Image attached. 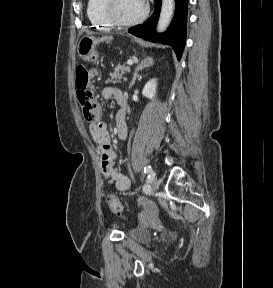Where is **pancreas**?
Segmentation results:
<instances>
[{
    "label": "pancreas",
    "mask_w": 273,
    "mask_h": 288,
    "mask_svg": "<svg viewBox=\"0 0 273 288\" xmlns=\"http://www.w3.org/2000/svg\"><path fill=\"white\" fill-rule=\"evenodd\" d=\"M130 72V67L125 65H118L113 73H110L111 78L106 82L120 83L122 80L126 81V73Z\"/></svg>",
    "instance_id": "1"
}]
</instances>
